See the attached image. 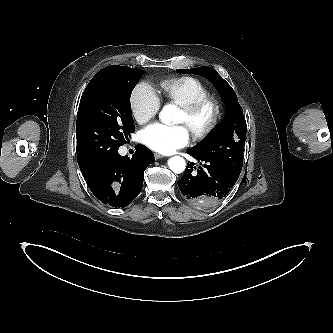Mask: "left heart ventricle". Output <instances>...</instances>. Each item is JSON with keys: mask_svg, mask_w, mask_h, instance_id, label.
<instances>
[{"mask_svg": "<svg viewBox=\"0 0 333 333\" xmlns=\"http://www.w3.org/2000/svg\"><path fill=\"white\" fill-rule=\"evenodd\" d=\"M212 116V109L207 108L203 112H201L197 117L193 120L189 121L186 115L181 111L178 117V123L185 124L189 130L191 129H201L205 127L210 121Z\"/></svg>", "mask_w": 333, "mask_h": 333, "instance_id": "left-heart-ventricle-1", "label": "left heart ventricle"}]
</instances>
